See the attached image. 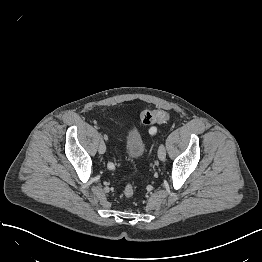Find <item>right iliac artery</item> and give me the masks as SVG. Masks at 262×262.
Wrapping results in <instances>:
<instances>
[{"label":"right iliac artery","instance_id":"82829eb1","mask_svg":"<svg viewBox=\"0 0 262 262\" xmlns=\"http://www.w3.org/2000/svg\"><path fill=\"white\" fill-rule=\"evenodd\" d=\"M108 168L113 169L114 168L113 163H108Z\"/></svg>","mask_w":262,"mask_h":262}]
</instances>
